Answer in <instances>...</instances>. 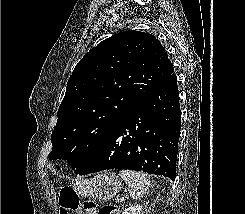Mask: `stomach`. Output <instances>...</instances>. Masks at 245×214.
<instances>
[{"label": "stomach", "mask_w": 245, "mask_h": 214, "mask_svg": "<svg viewBox=\"0 0 245 214\" xmlns=\"http://www.w3.org/2000/svg\"><path fill=\"white\" fill-rule=\"evenodd\" d=\"M73 187L78 195L108 200L119 193L122 181L114 172L105 171L93 178L79 179Z\"/></svg>", "instance_id": "obj_1"}]
</instances>
